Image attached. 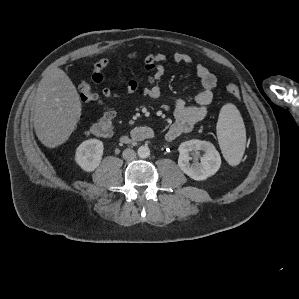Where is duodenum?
<instances>
[{"label":"duodenum","mask_w":299,"mask_h":299,"mask_svg":"<svg viewBox=\"0 0 299 299\" xmlns=\"http://www.w3.org/2000/svg\"><path fill=\"white\" fill-rule=\"evenodd\" d=\"M154 136L152 129L149 127H138L134 129L131 136H124L123 141H142L146 139H151Z\"/></svg>","instance_id":"410a0bca"}]
</instances>
